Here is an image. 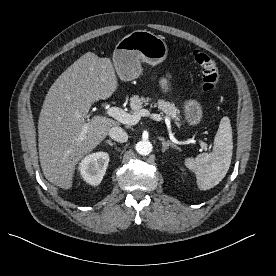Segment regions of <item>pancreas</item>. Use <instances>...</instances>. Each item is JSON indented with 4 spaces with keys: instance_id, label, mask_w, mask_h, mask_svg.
Here are the masks:
<instances>
[{
    "instance_id": "cf45deb5",
    "label": "pancreas",
    "mask_w": 276,
    "mask_h": 276,
    "mask_svg": "<svg viewBox=\"0 0 276 276\" xmlns=\"http://www.w3.org/2000/svg\"><path fill=\"white\" fill-rule=\"evenodd\" d=\"M151 101L152 98L150 97L134 95L130 98V106L134 113H138L144 106L149 105ZM150 105L152 107H158L159 111L165 113L170 119L174 120L177 125L180 124L179 109L174 103L160 99L157 103H151Z\"/></svg>"
}]
</instances>
